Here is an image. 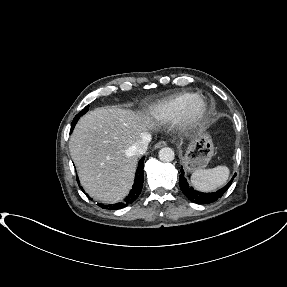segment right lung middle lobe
Returning <instances> with one entry per match:
<instances>
[{
  "label": "right lung middle lobe",
  "mask_w": 287,
  "mask_h": 287,
  "mask_svg": "<svg viewBox=\"0 0 287 287\" xmlns=\"http://www.w3.org/2000/svg\"><path fill=\"white\" fill-rule=\"evenodd\" d=\"M88 107L89 106H86L79 114H77L76 116H75V118L73 119V121H72V128L75 126V124H76V122L78 121V119L83 115V114H85L87 111H88Z\"/></svg>",
  "instance_id": "obj_1"
}]
</instances>
